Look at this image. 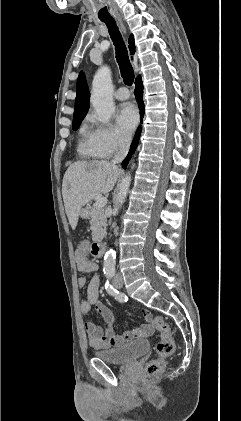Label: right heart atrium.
I'll return each mask as SVG.
<instances>
[{
    "label": "right heart atrium",
    "instance_id": "1",
    "mask_svg": "<svg viewBox=\"0 0 241 421\" xmlns=\"http://www.w3.org/2000/svg\"><path fill=\"white\" fill-rule=\"evenodd\" d=\"M88 120L94 125L91 131L93 144L102 158L111 157L129 144V137L120 129L99 124L93 116H89Z\"/></svg>",
    "mask_w": 241,
    "mask_h": 421
}]
</instances>
